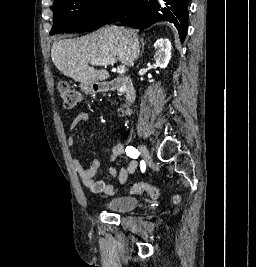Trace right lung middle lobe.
I'll return each mask as SVG.
<instances>
[{"label":"right lung middle lobe","mask_w":256,"mask_h":267,"mask_svg":"<svg viewBox=\"0 0 256 267\" xmlns=\"http://www.w3.org/2000/svg\"><path fill=\"white\" fill-rule=\"evenodd\" d=\"M131 0H57L50 35L92 31L122 17Z\"/></svg>","instance_id":"dd1d6c3e"}]
</instances>
